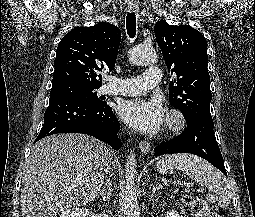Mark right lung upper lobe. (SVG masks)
Wrapping results in <instances>:
<instances>
[{
    "label": "right lung upper lobe",
    "instance_id": "obj_1",
    "mask_svg": "<svg viewBox=\"0 0 255 217\" xmlns=\"http://www.w3.org/2000/svg\"><path fill=\"white\" fill-rule=\"evenodd\" d=\"M120 40L119 28L110 23L72 29L57 47L52 87H100V72L114 68Z\"/></svg>",
    "mask_w": 255,
    "mask_h": 217
}]
</instances>
